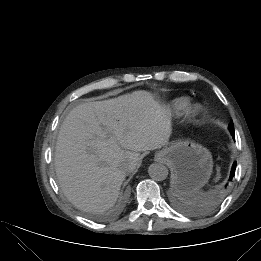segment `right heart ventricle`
<instances>
[{"instance_id":"1","label":"right heart ventricle","mask_w":261,"mask_h":261,"mask_svg":"<svg viewBox=\"0 0 261 261\" xmlns=\"http://www.w3.org/2000/svg\"><path fill=\"white\" fill-rule=\"evenodd\" d=\"M189 106L190 99L187 97L177 98L170 103V109L176 114L185 112Z\"/></svg>"}]
</instances>
